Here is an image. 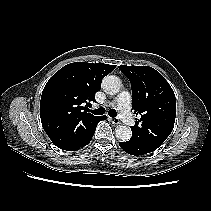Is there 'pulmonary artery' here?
I'll return each mask as SVG.
<instances>
[{
	"label": "pulmonary artery",
	"instance_id": "e3ab8cb5",
	"mask_svg": "<svg viewBox=\"0 0 211 211\" xmlns=\"http://www.w3.org/2000/svg\"><path fill=\"white\" fill-rule=\"evenodd\" d=\"M131 96L127 91L121 92L116 99L117 109L119 110L120 118L129 126L135 124V119L130 112Z\"/></svg>",
	"mask_w": 211,
	"mask_h": 211
}]
</instances>
